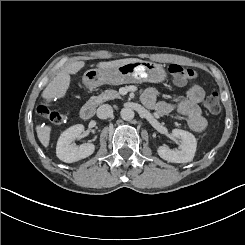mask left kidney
<instances>
[{"label":"left kidney","mask_w":245,"mask_h":245,"mask_svg":"<svg viewBox=\"0 0 245 245\" xmlns=\"http://www.w3.org/2000/svg\"><path fill=\"white\" fill-rule=\"evenodd\" d=\"M172 137L180 140L177 149H170L165 146H158L157 153L165 161L173 163H187L193 160L196 152L197 142L195 137L188 131L173 129Z\"/></svg>","instance_id":"left-kidney-1"}]
</instances>
